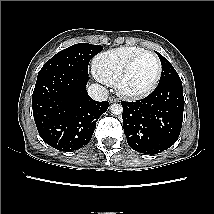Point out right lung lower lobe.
Wrapping results in <instances>:
<instances>
[{"label":"right lung lower lobe","mask_w":214,"mask_h":214,"mask_svg":"<svg viewBox=\"0 0 214 214\" xmlns=\"http://www.w3.org/2000/svg\"><path fill=\"white\" fill-rule=\"evenodd\" d=\"M89 76L53 72L37 78L32 96L33 116L40 137L60 151L87 145L107 101L93 100L86 91Z\"/></svg>","instance_id":"98d812e1"}]
</instances>
